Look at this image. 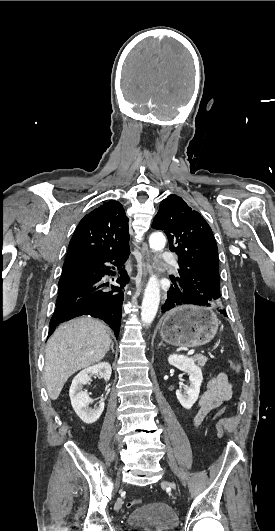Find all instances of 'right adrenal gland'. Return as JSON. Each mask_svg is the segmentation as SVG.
<instances>
[{
	"label": "right adrenal gland",
	"mask_w": 275,
	"mask_h": 531,
	"mask_svg": "<svg viewBox=\"0 0 275 531\" xmlns=\"http://www.w3.org/2000/svg\"><path fill=\"white\" fill-rule=\"evenodd\" d=\"M113 345H114V343H113V341H111L108 351H110V349H111L112 353H115V351L113 349Z\"/></svg>",
	"instance_id": "2a0ac1e0"
}]
</instances>
